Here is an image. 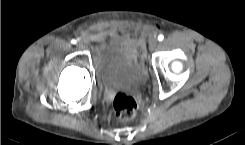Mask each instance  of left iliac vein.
Segmentation results:
<instances>
[{
    "mask_svg": "<svg viewBox=\"0 0 245 145\" xmlns=\"http://www.w3.org/2000/svg\"><path fill=\"white\" fill-rule=\"evenodd\" d=\"M158 46V40L156 38H152L150 41V50L153 51Z\"/></svg>",
    "mask_w": 245,
    "mask_h": 145,
    "instance_id": "obj_1",
    "label": "left iliac vein"
}]
</instances>
